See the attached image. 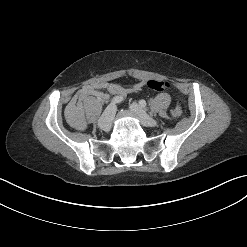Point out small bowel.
<instances>
[{"label":"small bowel","mask_w":247,"mask_h":247,"mask_svg":"<svg viewBox=\"0 0 247 247\" xmlns=\"http://www.w3.org/2000/svg\"><path fill=\"white\" fill-rule=\"evenodd\" d=\"M143 86V82L129 88H123L112 83H98L83 86L68 103L66 108V119L73 128L77 130H84L87 126L84 116V102L88 101L93 96L100 99H105L109 93H123L126 91L139 90Z\"/></svg>","instance_id":"obj_1"}]
</instances>
